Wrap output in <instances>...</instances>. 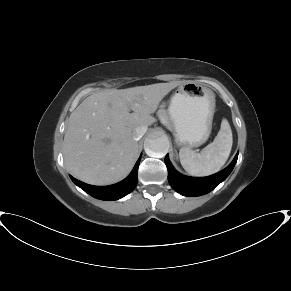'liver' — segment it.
<instances>
[{"instance_id":"1","label":"liver","mask_w":291,"mask_h":291,"mask_svg":"<svg viewBox=\"0 0 291 291\" xmlns=\"http://www.w3.org/2000/svg\"><path fill=\"white\" fill-rule=\"evenodd\" d=\"M179 84L105 90L85 98L71 113L65 131L63 155L69 172L91 185L124 179L139 152L133 131L155 122L151 114Z\"/></svg>"}]
</instances>
